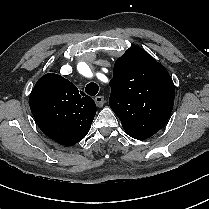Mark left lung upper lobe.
Instances as JSON below:
<instances>
[{
    "mask_svg": "<svg viewBox=\"0 0 209 209\" xmlns=\"http://www.w3.org/2000/svg\"><path fill=\"white\" fill-rule=\"evenodd\" d=\"M109 85V105L129 136L147 139L166 124L174 105V83L145 50L131 47L118 58Z\"/></svg>",
    "mask_w": 209,
    "mask_h": 209,
    "instance_id": "1",
    "label": "left lung upper lobe"
}]
</instances>
